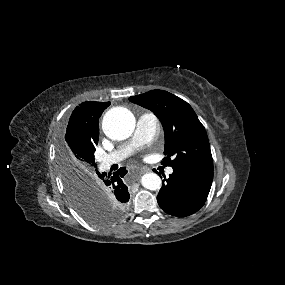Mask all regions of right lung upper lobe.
<instances>
[{"label":"right lung upper lobe","mask_w":285,"mask_h":285,"mask_svg":"<svg viewBox=\"0 0 285 285\" xmlns=\"http://www.w3.org/2000/svg\"><path fill=\"white\" fill-rule=\"evenodd\" d=\"M110 102L86 101L72 112L64 143L71 154H94L99 139V118Z\"/></svg>","instance_id":"obj_1"}]
</instances>
